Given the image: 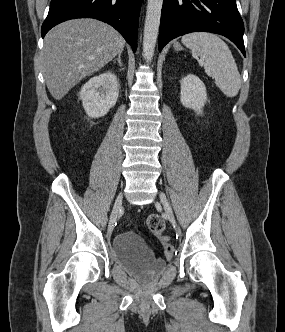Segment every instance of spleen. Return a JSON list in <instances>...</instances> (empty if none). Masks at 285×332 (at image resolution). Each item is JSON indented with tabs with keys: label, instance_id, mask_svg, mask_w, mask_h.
Here are the masks:
<instances>
[{
	"label": "spleen",
	"instance_id": "3e777b00",
	"mask_svg": "<svg viewBox=\"0 0 285 332\" xmlns=\"http://www.w3.org/2000/svg\"><path fill=\"white\" fill-rule=\"evenodd\" d=\"M182 43L200 57L205 73L215 79L217 87L227 97H235L241 87V77L228 45L217 35L194 32L182 37Z\"/></svg>",
	"mask_w": 285,
	"mask_h": 332
}]
</instances>
